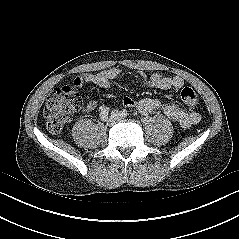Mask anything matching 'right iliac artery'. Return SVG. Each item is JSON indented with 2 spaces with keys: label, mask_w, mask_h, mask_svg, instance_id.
Returning a JSON list of instances; mask_svg holds the SVG:
<instances>
[{
  "label": "right iliac artery",
  "mask_w": 239,
  "mask_h": 239,
  "mask_svg": "<svg viewBox=\"0 0 239 239\" xmlns=\"http://www.w3.org/2000/svg\"><path fill=\"white\" fill-rule=\"evenodd\" d=\"M108 112H109V108L104 107L101 112H100V118L102 121H106V119L108 118Z\"/></svg>",
  "instance_id": "right-iliac-artery-1"
}]
</instances>
